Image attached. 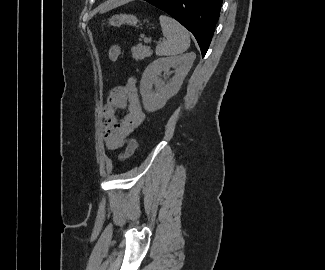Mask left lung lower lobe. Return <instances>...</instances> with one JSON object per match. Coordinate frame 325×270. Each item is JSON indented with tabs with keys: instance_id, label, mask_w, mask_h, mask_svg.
<instances>
[{
	"instance_id": "left-lung-lower-lobe-1",
	"label": "left lung lower lobe",
	"mask_w": 325,
	"mask_h": 270,
	"mask_svg": "<svg viewBox=\"0 0 325 270\" xmlns=\"http://www.w3.org/2000/svg\"><path fill=\"white\" fill-rule=\"evenodd\" d=\"M145 1L163 10L187 28L196 38L202 57L205 56L214 34L223 0Z\"/></svg>"
}]
</instances>
